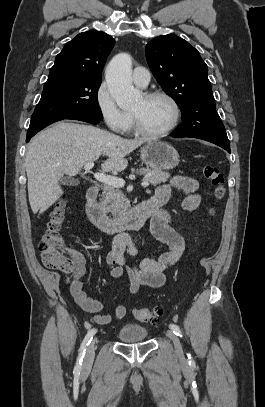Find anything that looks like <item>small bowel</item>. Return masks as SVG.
Segmentation results:
<instances>
[{
	"instance_id": "c3829d8e",
	"label": "small bowel",
	"mask_w": 265,
	"mask_h": 407,
	"mask_svg": "<svg viewBox=\"0 0 265 407\" xmlns=\"http://www.w3.org/2000/svg\"><path fill=\"white\" fill-rule=\"evenodd\" d=\"M181 190L187 197L184 201L186 210L196 209L201 201L197 194L199 182L191 177L174 176L170 184L160 185L154 198L168 200L170 189ZM153 236L167 245L168 249L156 258H144L136 267H128L124 253L136 254V248L126 236H120L114 242L112 249L106 256L109 273L114 278L126 276L130 282L129 293L135 294L141 286L158 288L165 283V272L181 259L185 250V241L180 228L174 224L170 215L164 209L156 211L151 218ZM74 267L65 278V282L75 302L87 313L92 315V321L98 325H106L114 320H120L126 315L124 305H117L112 314H102L103 305L98 300L90 298L83 290L82 277L86 271V260L80 253H74Z\"/></svg>"
}]
</instances>
